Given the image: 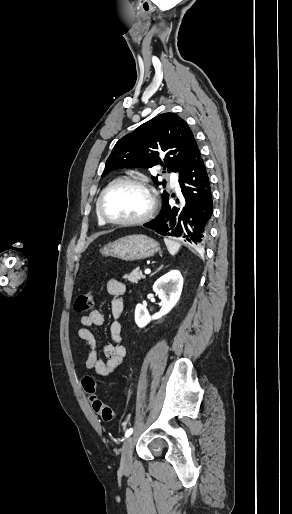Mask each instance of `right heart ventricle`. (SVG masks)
<instances>
[{"instance_id":"right-heart-ventricle-1","label":"right heart ventricle","mask_w":292,"mask_h":514,"mask_svg":"<svg viewBox=\"0 0 292 514\" xmlns=\"http://www.w3.org/2000/svg\"><path fill=\"white\" fill-rule=\"evenodd\" d=\"M96 215H97V220H98L99 225H105V222L98 215V212H97V201H96Z\"/></svg>"}]
</instances>
